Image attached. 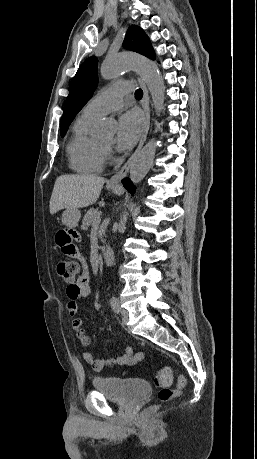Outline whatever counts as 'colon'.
Here are the masks:
<instances>
[{
    "mask_svg": "<svg viewBox=\"0 0 257 459\" xmlns=\"http://www.w3.org/2000/svg\"><path fill=\"white\" fill-rule=\"evenodd\" d=\"M57 245L59 246V244ZM81 265L82 264H68V261L61 260L56 266L57 275L63 280L72 283L79 274ZM172 374L173 372L170 366H162L155 376L154 383L159 388L158 399L161 403L169 402L177 397L186 386V379L180 376L177 381V386L171 388ZM155 410L156 407H151L148 413H153Z\"/></svg>",
    "mask_w": 257,
    "mask_h": 459,
    "instance_id": "5ec220e1",
    "label": "colon"
}]
</instances>
